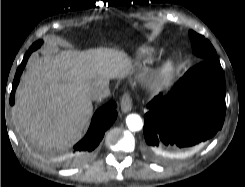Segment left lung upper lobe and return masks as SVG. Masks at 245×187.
I'll return each instance as SVG.
<instances>
[{"label": "left lung upper lobe", "mask_w": 245, "mask_h": 187, "mask_svg": "<svg viewBox=\"0 0 245 187\" xmlns=\"http://www.w3.org/2000/svg\"><path fill=\"white\" fill-rule=\"evenodd\" d=\"M192 42V50L202 61L217 57V53L212 44L202 35L189 31Z\"/></svg>", "instance_id": "1"}]
</instances>
